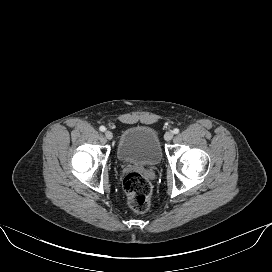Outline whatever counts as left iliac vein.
Instances as JSON below:
<instances>
[{
	"label": "left iliac vein",
	"instance_id": "4c4485c4",
	"mask_svg": "<svg viewBox=\"0 0 272 272\" xmlns=\"http://www.w3.org/2000/svg\"><path fill=\"white\" fill-rule=\"evenodd\" d=\"M173 136H174V133L172 131H168V132L165 133L164 139L166 141H170V140H172Z\"/></svg>",
	"mask_w": 272,
	"mask_h": 272
}]
</instances>
